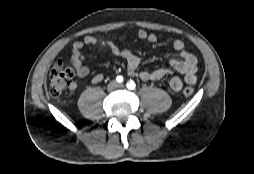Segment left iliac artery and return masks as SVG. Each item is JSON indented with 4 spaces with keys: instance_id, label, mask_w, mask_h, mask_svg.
<instances>
[{
    "instance_id": "obj_1",
    "label": "left iliac artery",
    "mask_w": 254,
    "mask_h": 174,
    "mask_svg": "<svg viewBox=\"0 0 254 174\" xmlns=\"http://www.w3.org/2000/svg\"><path fill=\"white\" fill-rule=\"evenodd\" d=\"M126 86H127L128 89L133 90V89H135L136 84L133 80H130V81L127 82Z\"/></svg>"
}]
</instances>
